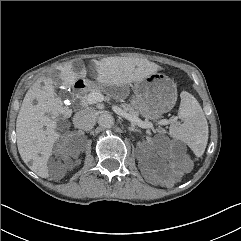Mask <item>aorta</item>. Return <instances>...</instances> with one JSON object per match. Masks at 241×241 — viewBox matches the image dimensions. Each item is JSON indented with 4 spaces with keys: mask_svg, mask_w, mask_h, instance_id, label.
Segmentation results:
<instances>
[{
    "mask_svg": "<svg viewBox=\"0 0 241 241\" xmlns=\"http://www.w3.org/2000/svg\"><path fill=\"white\" fill-rule=\"evenodd\" d=\"M98 124L103 128H111L114 124V117L111 114L104 112L98 117Z\"/></svg>",
    "mask_w": 241,
    "mask_h": 241,
    "instance_id": "762f6f07",
    "label": "aorta"
}]
</instances>
